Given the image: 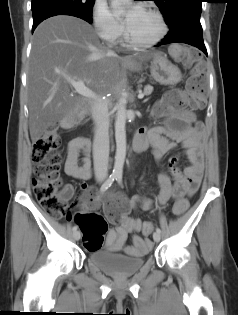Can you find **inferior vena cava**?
<instances>
[{"label":"inferior vena cava","instance_id":"1","mask_svg":"<svg viewBox=\"0 0 238 315\" xmlns=\"http://www.w3.org/2000/svg\"><path fill=\"white\" fill-rule=\"evenodd\" d=\"M91 112L95 124L93 140L94 173L96 179H105L108 176L109 159L107 103L101 99H96L92 105Z\"/></svg>","mask_w":238,"mask_h":315}]
</instances>
